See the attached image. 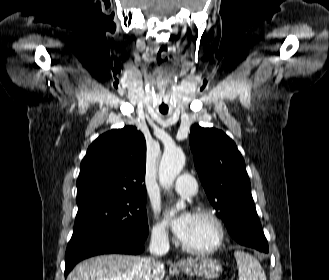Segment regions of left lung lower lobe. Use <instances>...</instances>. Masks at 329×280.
<instances>
[{"mask_svg": "<svg viewBox=\"0 0 329 280\" xmlns=\"http://www.w3.org/2000/svg\"><path fill=\"white\" fill-rule=\"evenodd\" d=\"M229 233L238 243L268 253V243L256 213L255 205H251L244 223L234 225Z\"/></svg>", "mask_w": 329, "mask_h": 280, "instance_id": "obj_1", "label": "left lung lower lobe"}]
</instances>
